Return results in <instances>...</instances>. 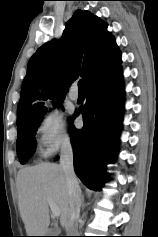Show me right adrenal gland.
<instances>
[{
    "label": "right adrenal gland",
    "instance_id": "2a0ac1e0",
    "mask_svg": "<svg viewBox=\"0 0 158 237\" xmlns=\"http://www.w3.org/2000/svg\"><path fill=\"white\" fill-rule=\"evenodd\" d=\"M81 206H82V210L85 207V199H84V195L81 197Z\"/></svg>",
    "mask_w": 158,
    "mask_h": 237
}]
</instances>
